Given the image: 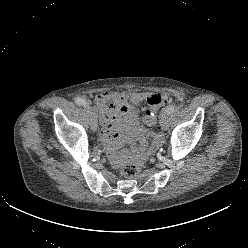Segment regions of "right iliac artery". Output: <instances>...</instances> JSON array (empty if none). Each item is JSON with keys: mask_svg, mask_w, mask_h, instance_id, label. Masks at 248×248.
Listing matches in <instances>:
<instances>
[{"mask_svg": "<svg viewBox=\"0 0 248 248\" xmlns=\"http://www.w3.org/2000/svg\"><path fill=\"white\" fill-rule=\"evenodd\" d=\"M75 103H76L77 105H79V106H87V105H89V104L85 101V99H82V98H80V97H76V98H75Z\"/></svg>", "mask_w": 248, "mask_h": 248, "instance_id": "82829eb1", "label": "right iliac artery"}]
</instances>
